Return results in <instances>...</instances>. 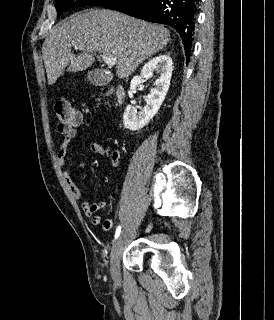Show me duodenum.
Listing matches in <instances>:
<instances>
[{
  "instance_id": "duodenum-1",
  "label": "duodenum",
  "mask_w": 274,
  "mask_h": 320,
  "mask_svg": "<svg viewBox=\"0 0 274 320\" xmlns=\"http://www.w3.org/2000/svg\"><path fill=\"white\" fill-rule=\"evenodd\" d=\"M118 96H119L120 98L123 97V90H122V88H119V89H118Z\"/></svg>"
}]
</instances>
